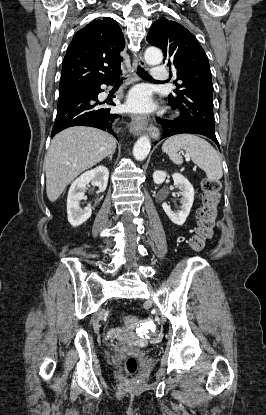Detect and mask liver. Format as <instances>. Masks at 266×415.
<instances>
[{
    "label": "liver",
    "mask_w": 266,
    "mask_h": 415,
    "mask_svg": "<svg viewBox=\"0 0 266 415\" xmlns=\"http://www.w3.org/2000/svg\"><path fill=\"white\" fill-rule=\"evenodd\" d=\"M115 138L92 127H71L58 133L45 156L46 193L55 202L80 173L113 154Z\"/></svg>",
    "instance_id": "liver-1"
}]
</instances>
